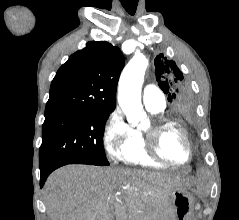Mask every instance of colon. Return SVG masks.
<instances>
[{
	"label": "colon",
	"mask_w": 239,
	"mask_h": 220,
	"mask_svg": "<svg viewBox=\"0 0 239 220\" xmlns=\"http://www.w3.org/2000/svg\"><path fill=\"white\" fill-rule=\"evenodd\" d=\"M183 219V216H180V220H182Z\"/></svg>",
	"instance_id": "1"
}]
</instances>
